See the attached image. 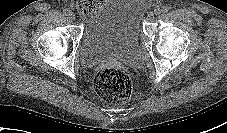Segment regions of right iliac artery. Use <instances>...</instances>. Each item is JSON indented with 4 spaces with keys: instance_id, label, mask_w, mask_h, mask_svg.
<instances>
[{
    "instance_id": "1",
    "label": "right iliac artery",
    "mask_w": 227,
    "mask_h": 133,
    "mask_svg": "<svg viewBox=\"0 0 227 133\" xmlns=\"http://www.w3.org/2000/svg\"><path fill=\"white\" fill-rule=\"evenodd\" d=\"M70 10L68 9V8H65L64 10H63V13H64V15H66V16H68L69 14H70Z\"/></svg>"
}]
</instances>
